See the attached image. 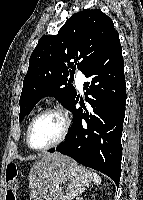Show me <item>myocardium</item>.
Here are the masks:
<instances>
[{"mask_svg":"<svg viewBox=\"0 0 143 200\" xmlns=\"http://www.w3.org/2000/svg\"><path fill=\"white\" fill-rule=\"evenodd\" d=\"M50 113L58 114L63 119L64 127L62 130V133L54 142H52L44 147H41V148H35L31 145V142H30V132H31L32 126L39 118H41L44 115L50 114ZM71 125H72L71 117L64 108H62L60 106H52V107L46 108V109L42 110L41 112H39L36 116H34L32 118V120L30 121V123L28 124L27 130H26V143H27L28 147L34 151L41 152V151L49 150V149L59 145L67 138V136L70 132V129H71Z\"/></svg>","mask_w":143,"mask_h":200,"instance_id":"f54148a6","label":"myocardium"}]
</instances>
